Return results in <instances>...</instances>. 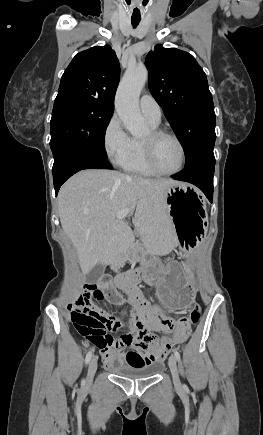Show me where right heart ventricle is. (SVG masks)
Masks as SVG:
<instances>
[{"label": "right heart ventricle", "mask_w": 263, "mask_h": 435, "mask_svg": "<svg viewBox=\"0 0 263 435\" xmlns=\"http://www.w3.org/2000/svg\"><path fill=\"white\" fill-rule=\"evenodd\" d=\"M149 121V120H148ZM152 129L157 128L158 124L149 121ZM123 168L132 174L141 176H153L155 173L150 169L146 162L143 140L132 138V145L129 157L122 165Z\"/></svg>", "instance_id": "obj_1"}]
</instances>
